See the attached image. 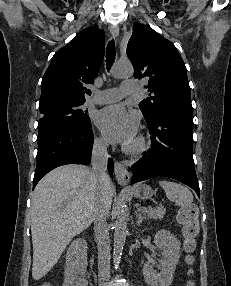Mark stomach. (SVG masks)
I'll use <instances>...</instances> for the list:
<instances>
[{
    "instance_id": "1",
    "label": "stomach",
    "mask_w": 231,
    "mask_h": 286,
    "mask_svg": "<svg viewBox=\"0 0 231 286\" xmlns=\"http://www.w3.org/2000/svg\"><path fill=\"white\" fill-rule=\"evenodd\" d=\"M134 194L138 199H150L154 192L152 188L146 184H141L134 189Z\"/></svg>"
}]
</instances>
